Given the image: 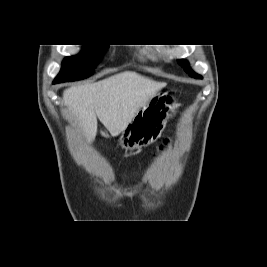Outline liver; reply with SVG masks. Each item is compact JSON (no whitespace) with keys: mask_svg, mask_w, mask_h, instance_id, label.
<instances>
[{"mask_svg":"<svg viewBox=\"0 0 267 267\" xmlns=\"http://www.w3.org/2000/svg\"><path fill=\"white\" fill-rule=\"evenodd\" d=\"M165 86L164 82L125 71L98 82L70 87L63 92V101L78 119L87 141L92 142L97 134V118L112 136H118Z\"/></svg>","mask_w":267,"mask_h":267,"instance_id":"obj_1","label":"liver"}]
</instances>
